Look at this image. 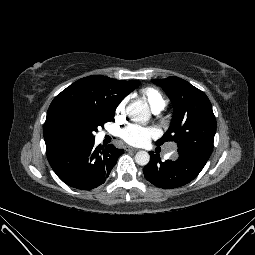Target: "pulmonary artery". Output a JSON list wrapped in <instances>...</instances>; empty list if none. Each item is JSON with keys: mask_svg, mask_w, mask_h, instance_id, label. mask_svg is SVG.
Here are the masks:
<instances>
[{"mask_svg": "<svg viewBox=\"0 0 255 255\" xmlns=\"http://www.w3.org/2000/svg\"><path fill=\"white\" fill-rule=\"evenodd\" d=\"M160 110H156L154 111L155 113H158ZM176 156V147L175 146H171L169 151L166 153L165 157L166 158H170L173 159Z\"/></svg>", "mask_w": 255, "mask_h": 255, "instance_id": "pulmonary-artery-1", "label": "pulmonary artery"}]
</instances>
